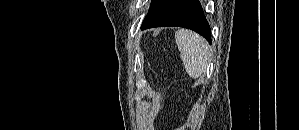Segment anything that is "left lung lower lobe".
Listing matches in <instances>:
<instances>
[{"label": "left lung lower lobe", "instance_id": "obj_1", "mask_svg": "<svg viewBox=\"0 0 299 130\" xmlns=\"http://www.w3.org/2000/svg\"><path fill=\"white\" fill-rule=\"evenodd\" d=\"M162 26L191 29L211 43V29L198 0H154L141 29Z\"/></svg>", "mask_w": 299, "mask_h": 130}]
</instances>
